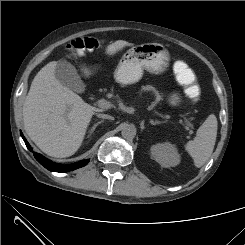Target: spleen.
<instances>
[{
	"label": "spleen",
	"instance_id": "spleen-1",
	"mask_svg": "<svg viewBox=\"0 0 245 245\" xmlns=\"http://www.w3.org/2000/svg\"><path fill=\"white\" fill-rule=\"evenodd\" d=\"M217 118L214 114L207 117L199 127L196 137L185 145L197 168L202 167L210 158L217 137Z\"/></svg>",
	"mask_w": 245,
	"mask_h": 245
}]
</instances>
